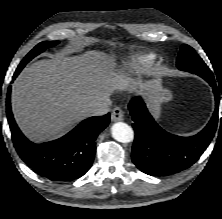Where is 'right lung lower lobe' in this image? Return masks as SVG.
I'll use <instances>...</instances> for the list:
<instances>
[{
	"label": "right lung lower lobe",
	"mask_w": 222,
	"mask_h": 219,
	"mask_svg": "<svg viewBox=\"0 0 222 219\" xmlns=\"http://www.w3.org/2000/svg\"><path fill=\"white\" fill-rule=\"evenodd\" d=\"M19 74L15 72L13 79ZM11 87L7 93V118L14 146L21 159L40 176L53 181H72L92 166L95 140L110 121V113L82 121L65 136L43 144L30 142L19 130L10 106Z\"/></svg>",
	"instance_id": "1"
}]
</instances>
